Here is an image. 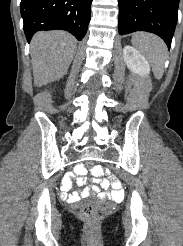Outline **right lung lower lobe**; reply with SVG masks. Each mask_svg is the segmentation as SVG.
<instances>
[{
	"label": "right lung lower lobe",
	"mask_w": 183,
	"mask_h": 246,
	"mask_svg": "<svg viewBox=\"0 0 183 246\" xmlns=\"http://www.w3.org/2000/svg\"><path fill=\"white\" fill-rule=\"evenodd\" d=\"M91 3L92 0H21L28 42L41 30H65L81 41L90 22Z\"/></svg>",
	"instance_id": "98d812e1"
}]
</instances>
